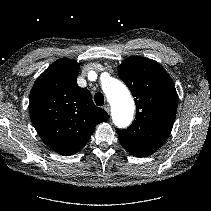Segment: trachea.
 Masks as SVG:
<instances>
[{"instance_id": "trachea-1", "label": "trachea", "mask_w": 211, "mask_h": 211, "mask_svg": "<svg viewBox=\"0 0 211 211\" xmlns=\"http://www.w3.org/2000/svg\"><path fill=\"white\" fill-rule=\"evenodd\" d=\"M94 101L97 106H103L104 105V96L102 93L98 92L94 95Z\"/></svg>"}]
</instances>
